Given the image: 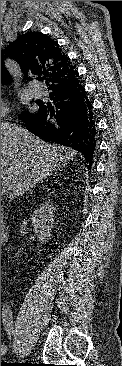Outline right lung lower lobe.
<instances>
[{
  "label": "right lung lower lobe",
  "mask_w": 122,
  "mask_h": 366,
  "mask_svg": "<svg viewBox=\"0 0 122 366\" xmlns=\"http://www.w3.org/2000/svg\"><path fill=\"white\" fill-rule=\"evenodd\" d=\"M51 104L39 103L36 113L21 118L30 132L45 141L77 150L91 168L96 147V128L92 105L78 73L67 83L48 88Z\"/></svg>",
  "instance_id": "obj_1"
}]
</instances>
